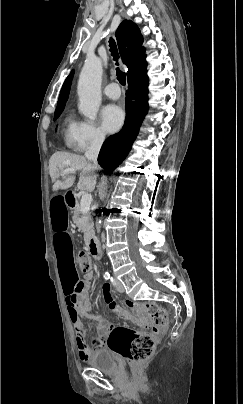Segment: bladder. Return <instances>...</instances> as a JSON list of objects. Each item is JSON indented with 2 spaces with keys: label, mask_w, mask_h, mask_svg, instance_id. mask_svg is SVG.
Listing matches in <instances>:
<instances>
[{
  "label": "bladder",
  "mask_w": 243,
  "mask_h": 404,
  "mask_svg": "<svg viewBox=\"0 0 243 404\" xmlns=\"http://www.w3.org/2000/svg\"><path fill=\"white\" fill-rule=\"evenodd\" d=\"M87 363L90 367L103 373H114L119 369L116 358L107 348L93 350L87 359Z\"/></svg>",
  "instance_id": "31cf9c89"
}]
</instances>
